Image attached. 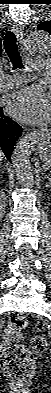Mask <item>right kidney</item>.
I'll use <instances>...</instances> for the list:
<instances>
[{
  "instance_id": "1",
  "label": "right kidney",
  "mask_w": 51,
  "mask_h": 393,
  "mask_svg": "<svg viewBox=\"0 0 51 393\" xmlns=\"http://www.w3.org/2000/svg\"><path fill=\"white\" fill-rule=\"evenodd\" d=\"M0 206L1 210L3 211L4 207L6 206V197H4L3 193L0 196Z\"/></svg>"
}]
</instances>
